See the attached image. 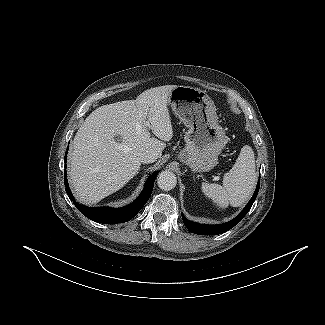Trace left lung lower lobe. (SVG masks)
I'll return each instance as SVG.
<instances>
[{
  "label": "left lung lower lobe",
  "mask_w": 325,
  "mask_h": 325,
  "mask_svg": "<svg viewBox=\"0 0 325 325\" xmlns=\"http://www.w3.org/2000/svg\"><path fill=\"white\" fill-rule=\"evenodd\" d=\"M259 187H260V176H259V181L257 183V187L254 192V195L252 196V198L250 199V201L248 202L246 207L242 210V212L237 217H235L234 219H232L229 222H226L223 224H218V225H204V224H199L196 222L189 221L184 216H182L183 222H184L185 226L188 228V230L195 234L217 235V234L224 233V232L230 230L231 228H233L236 224H238L244 218V216L248 213V211L252 207V205L257 197Z\"/></svg>",
  "instance_id": "0a47b994"
}]
</instances>
